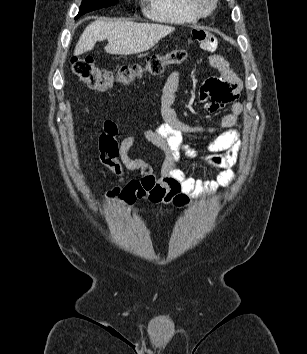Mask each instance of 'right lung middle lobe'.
<instances>
[{
  "label": "right lung middle lobe",
  "instance_id": "obj_1",
  "mask_svg": "<svg viewBox=\"0 0 307 354\" xmlns=\"http://www.w3.org/2000/svg\"><path fill=\"white\" fill-rule=\"evenodd\" d=\"M118 0H83L76 18L86 12L110 6Z\"/></svg>",
  "mask_w": 307,
  "mask_h": 354
}]
</instances>
